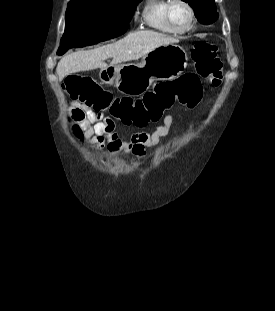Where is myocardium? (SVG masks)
Here are the masks:
<instances>
[{
    "label": "myocardium",
    "mask_w": 275,
    "mask_h": 311,
    "mask_svg": "<svg viewBox=\"0 0 275 311\" xmlns=\"http://www.w3.org/2000/svg\"><path fill=\"white\" fill-rule=\"evenodd\" d=\"M176 3H181V4H183V5L188 9L189 15H190L188 24H187L185 27H182V28L176 27V26L174 25L172 19H171V16H170L171 8H172ZM165 18H166L168 24H169L175 31H177L178 33H182V32H185V31L189 30V29L191 28V26L193 25L194 20H195V11H194L193 7L191 6V4L188 3V1H186V0H169V4L167 5L166 10H165Z\"/></svg>",
    "instance_id": "f54148a6"
}]
</instances>
